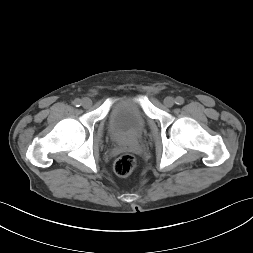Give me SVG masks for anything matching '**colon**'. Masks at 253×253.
Wrapping results in <instances>:
<instances>
[{
  "instance_id": "1",
  "label": "colon",
  "mask_w": 253,
  "mask_h": 253,
  "mask_svg": "<svg viewBox=\"0 0 253 253\" xmlns=\"http://www.w3.org/2000/svg\"><path fill=\"white\" fill-rule=\"evenodd\" d=\"M136 158L130 153L120 155L114 163V171L118 176L126 177L130 175L136 167Z\"/></svg>"
}]
</instances>
